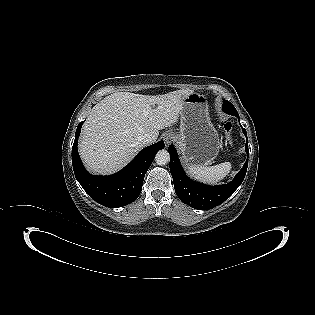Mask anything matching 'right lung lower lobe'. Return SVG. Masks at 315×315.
<instances>
[{"mask_svg":"<svg viewBox=\"0 0 315 315\" xmlns=\"http://www.w3.org/2000/svg\"><path fill=\"white\" fill-rule=\"evenodd\" d=\"M82 124L83 122L78 124L72 147V164L77 181L93 200L103 206L115 208L134 202L141 193L145 173L155 154L164 148V142L160 141L142 149L124 169L116 174L93 176L85 170L77 150Z\"/></svg>","mask_w":315,"mask_h":315,"instance_id":"98d812e1","label":"right lung lower lobe"}]
</instances>
